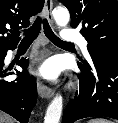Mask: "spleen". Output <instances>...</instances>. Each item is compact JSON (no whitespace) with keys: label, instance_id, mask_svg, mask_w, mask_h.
<instances>
[{"label":"spleen","instance_id":"1","mask_svg":"<svg viewBox=\"0 0 118 123\" xmlns=\"http://www.w3.org/2000/svg\"><path fill=\"white\" fill-rule=\"evenodd\" d=\"M88 123H112V122L103 118H95V119L89 120Z\"/></svg>","mask_w":118,"mask_h":123}]
</instances>
